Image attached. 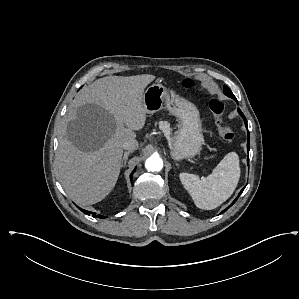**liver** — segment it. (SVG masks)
<instances>
[{
	"mask_svg": "<svg viewBox=\"0 0 299 299\" xmlns=\"http://www.w3.org/2000/svg\"><path fill=\"white\" fill-rule=\"evenodd\" d=\"M154 75L107 76L86 86L72 103L59 139L57 168L70 198L87 206L114 188L122 166V143L146 122L144 90ZM91 105L87 109L82 108ZM75 122L81 126L74 129Z\"/></svg>",
	"mask_w": 299,
	"mask_h": 299,
	"instance_id": "6515ba94",
	"label": "liver"
}]
</instances>
